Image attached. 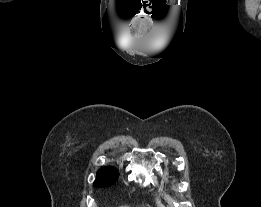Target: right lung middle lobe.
<instances>
[{
  "mask_svg": "<svg viewBox=\"0 0 261 207\" xmlns=\"http://www.w3.org/2000/svg\"><path fill=\"white\" fill-rule=\"evenodd\" d=\"M118 176L114 168L101 169L97 172V179L94 182L95 187H105L114 184Z\"/></svg>",
  "mask_w": 261,
  "mask_h": 207,
  "instance_id": "1",
  "label": "right lung middle lobe"
}]
</instances>
